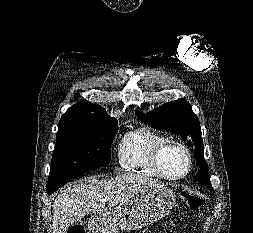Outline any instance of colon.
I'll use <instances>...</instances> for the list:
<instances>
[{
	"label": "colon",
	"mask_w": 253,
	"mask_h": 233,
	"mask_svg": "<svg viewBox=\"0 0 253 233\" xmlns=\"http://www.w3.org/2000/svg\"><path fill=\"white\" fill-rule=\"evenodd\" d=\"M204 204L205 200L203 197L191 193H182L180 214L186 211H196L203 207ZM179 221L180 217L176 216L173 221L165 227L164 233H174L175 227ZM67 233H84V228L82 225H72Z\"/></svg>",
	"instance_id": "obj_1"
}]
</instances>
